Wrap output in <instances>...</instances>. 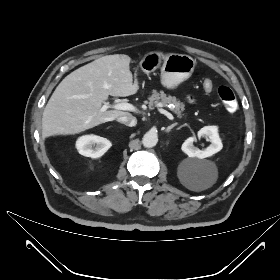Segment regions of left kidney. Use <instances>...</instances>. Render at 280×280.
Listing matches in <instances>:
<instances>
[{"label": "left kidney", "mask_w": 280, "mask_h": 280, "mask_svg": "<svg viewBox=\"0 0 280 280\" xmlns=\"http://www.w3.org/2000/svg\"><path fill=\"white\" fill-rule=\"evenodd\" d=\"M205 136L207 137L211 144L206 149H199L194 146L193 142L195 137H189L182 144V151L187 154L189 157H196L199 159L210 157L217 152H219L223 145L218 134V128L216 126H205L198 131V137ZM200 184H204L200 182Z\"/></svg>", "instance_id": "1"}]
</instances>
